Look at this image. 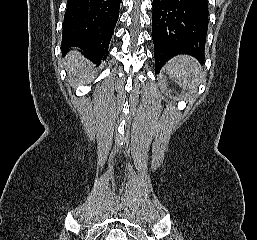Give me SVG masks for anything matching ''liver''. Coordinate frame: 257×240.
Instances as JSON below:
<instances>
[{
  "label": "liver",
  "mask_w": 257,
  "mask_h": 240,
  "mask_svg": "<svg viewBox=\"0 0 257 240\" xmlns=\"http://www.w3.org/2000/svg\"><path fill=\"white\" fill-rule=\"evenodd\" d=\"M89 63L82 57L79 51L71 50L67 57V70L69 75L81 77L88 71Z\"/></svg>",
  "instance_id": "1"
}]
</instances>
